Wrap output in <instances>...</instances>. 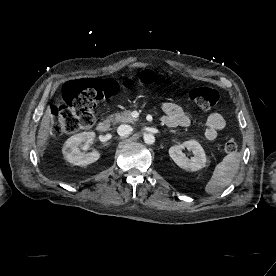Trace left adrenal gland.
I'll return each mask as SVG.
<instances>
[{"label":"left adrenal gland","instance_id":"left-adrenal-gland-1","mask_svg":"<svg viewBox=\"0 0 276 276\" xmlns=\"http://www.w3.org/2000/svg\"><path fill=\"white\" fill-rule=\"evenodd\" d=\"M169 132L175 133V131H174V130H170Z\"/></svg>","mask_w":276,"mask_h":276}]
</instances>
